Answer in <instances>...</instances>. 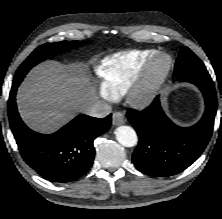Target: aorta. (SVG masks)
I'll use <instances>...</instances> for the list:
<instances>
[{"label": "aorta", "instance_id": "762f6f07", "mask_svg": "<svg viewBox=\"0 0 222 219\" xmlns=\"http://www.w3.org/2000/svg\"><path fill=\"white\" fill-rule=\"evenodd\" d=\"M115 134L117 141L125 147H133L137 144V134L130 126H119L116 129Z\"/></svg>", "mask_w": 222, "mask_h": 219}]
</instances>
